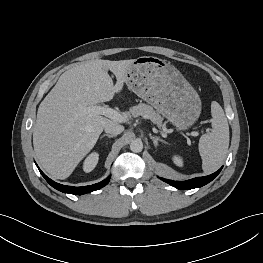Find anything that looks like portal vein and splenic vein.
I'll return each instance as SVG.
<instances>
[{
	"instance_id": "obj_1",
	"label": "portal vein and splenic vein",
	"mask_w": 263,
	"mask_h": 263,
	"mask_svg": "<svg viewBox=\"0 0 263 263\" xmlns=\"http://www.w3.org/2000/svg\"><path fill=\"white\" fill-rule=\"evenodd\" d=\"M84 114L88 115H104L105 117L114 120L115 122H124L125 118L116 110L108 106H89L83 109ZM209 131V129H207ZM191 136H199V132L193 131L189 133Z\"/></svg>"
}]
</instances>
